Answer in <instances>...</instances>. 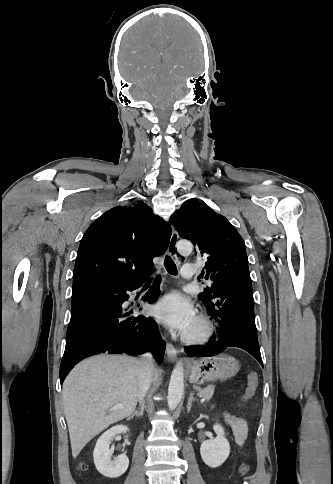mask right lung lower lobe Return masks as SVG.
<instances>
[{
    "instance_id": "1",
    "label": "right lung lower lobe",
    "mask_w": 333,
    "mask_h": 484,
    "mask_svg": "<svg viewBox=\"0 0 333 484\" xmlns=\"http://www.w3.org/2000/svg\"><path fill=\"white\" fill-rule=\"evenodd\" d=\"M144 281V280H143ZM143 281L123 286L112 283H89L73 287L71 320L66 347L60 366L63 383L73 366L82 359L99 353L139 355L152 351L156 361L165 352L156 322L151 317L134 316L135 310L122 307L127 291L139 288ZM158 276L143 300L153 303L159 296Z\"/></svg>"
}]
</instances>
